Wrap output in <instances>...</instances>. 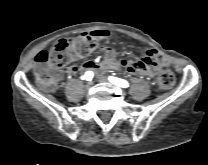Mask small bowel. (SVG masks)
<instances>
[{
	"label": "small bowel",
	"instance_id": "obj_1",
	"mask_svg": "<svg viewBox=\"0 0 208 165\" xmlns=\"http://www.w3.org/2000/svg\"><path fill=\"white\" fill-rule=\"evenodd\" d=\"M98 40L105 39L110 36V32L105 29H98L91 32ZM104 58L99 64L89 60L82 64L83 71H102V70H117L126 68L129 73L153 77L157 71L166 64V60L161 57L156 50H146V57L141 60L123 59L118 61L115 52L107 46L102 47ZM62 73L67 76H73L78 73V65L76 63H67L62 66Z\"/></svg>",
	"mask_w": 208,
	"mask_h": 165
}]
</instances>
